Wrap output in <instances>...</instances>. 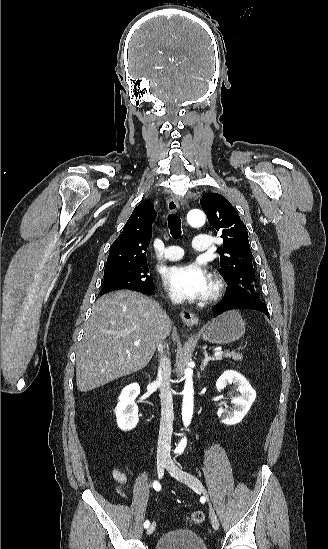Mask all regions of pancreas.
<instances>
[{
    "mask_svg": "<svg viewBox=\"0 0 328 549\" xmlns=\"http://www.w3.org/2000/svg\"><path fill=\"white\" fill-rule=\"evenodd\" d=\"M223 357H229V359H233V361H243V355H240V353H235V351H227V353H224V355H220V357H215L216 361H222Z\"/></svg>",
    "mask_w": 328,
    "mask_h": 549,
    "instance_id": "obj_1",
    "label": "pancreas"
}]
</instances>
